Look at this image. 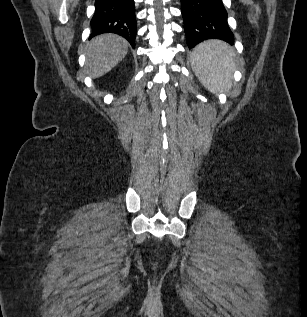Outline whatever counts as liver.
Masks as SVG:
<instances>
[{
	"mask_svg": "<svg viewBox=\"0 0 307 317\" xmlns=\"http://www.w3.org/2000/svg\"><path fill=\"white\" fill-rule=\"evenodd\" d=\"M129 44L118 35L106 33L91 40L86 51L85 68L92 78L111 71L127 54Z\"/></svg>",
	"mask_w": 307,
	"mask_h": 317,
	"instance_id": "6515ba94",
	"label": "liver"
}]
</instances>
